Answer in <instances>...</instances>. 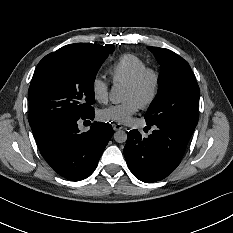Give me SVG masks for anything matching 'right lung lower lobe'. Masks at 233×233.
Instances as JSON below:
<instances>
[{
    "instance_id": "98d812e1",
    "label": "right lung lower lobe",
    "mask_w": 233,
    "mask_h": 233,
    "mask_svg": "<svg viewBox=\"0 0 233 233\" xmlns=\"http://www.w3.org/2000/svg\"><path fill=\"white\" fill-rule=\"evenodd\" d=\"M93 120L94 110L80 118H66L31 127L38 148L56 173L72 181L83 180L95 170L113 135L109 123L94 122L80 132L82 120ZM90 123V121H88Z\"/></svg>"
}]
</instances>
